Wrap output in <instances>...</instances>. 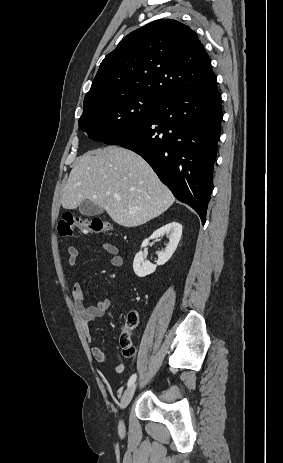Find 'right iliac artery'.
<instances>
[{
	"mask_svg": "<svg viewBox=\"0 0 283 463\" xmlns=\"http://www.w3.org/2000/svg\"><path fill=\"white\" fill-rule=\"evenodd\" d=\"M136 377H137L136 374H133V375L130 377V379L128 380V383H127L128 387H130V386L135 382Z\"/></svg>",
	"mask_w": 283,
	"mask_h": 463,
	"instance_id": "1",
	"label": "right iliac artery"
}]
</instances>
